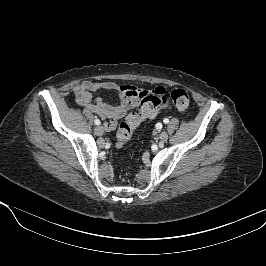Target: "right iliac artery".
Instances as JSON below:
<instances>
[{
    "label": "right iliac artery",
    "instance_id": "82829eb1",
    "mask_svg": "<svg viewBox=\"0 0 266 266\" xmlns=\"http://www.w3.org/2000/svg\"><path fill=\"white\" fill-rule=\"evenodd\" d=\"M94 123H95L96 125H99L101 122H100L99 119H95Z\"/></svg>",
    "mask_w": 266,
    "mask_h": 266
}]
</instances>
